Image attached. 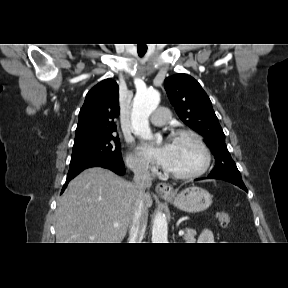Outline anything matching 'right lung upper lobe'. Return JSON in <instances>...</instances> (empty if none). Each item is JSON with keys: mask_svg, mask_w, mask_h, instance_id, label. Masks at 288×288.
<instances>
[{"mask_svg": "<svg viewBox=\"0 0 288 288\" xmlns=\"http://www.w3.org/2000/svg\"><path fill=\"white\" fill-rule=\"evenodd\" d=\"M118 97V85L110 78L87 93L79 113L74 142L115 133V120L120 110Z\"/></svg>", "mask_w": 288, "mask_h": 288, "instance_id": "1", "label": "right lung upper lobe"}]
</instances>
